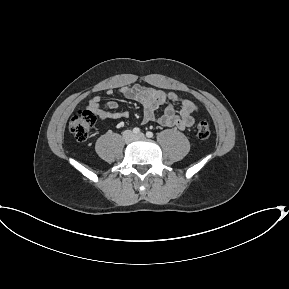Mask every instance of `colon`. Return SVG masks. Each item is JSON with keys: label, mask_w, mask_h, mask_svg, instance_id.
<instances>
[{"label": "colon", "mask_w": 289, "mask_h": 289, "mask_svg": "<svg viewBox=\"0 0 289 289\" xmlns=\"http://www.w3.org/2000/svg\"><path fill=\"white\" fill-rule=\"evenodd\" d=\"M96 117L90 110H79L69 121V130L78 141H85L95 124ZM197 136L201 140H206L210 136V126L206 121L197 124Z\"/></svg>", "instance_id": "obj_1"}]
</instances>
